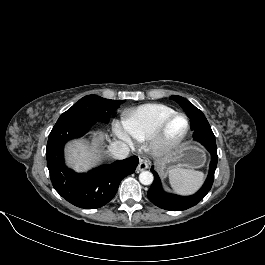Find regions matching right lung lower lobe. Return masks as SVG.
Listing matches in <instances>:
<instances>
[{
    "mask_svg": "<svg viewBox=\"0 0 265 265\" xmlns=\"http://www.w3.org/2000/svg\"><path fill=\"white\" fill-rule=\"evenodd\" d=\"M95 122L73 119L56 123L49 134L46 157L55 190L71 204L85 209L105 205L115 196L121 180L134 173L138 157L99 166L88 173H76L64 163V146L85 135Z\"/></svg>",
    "mask_w": 265,
    "mask_h": 265,
    "instance_id": "1",
    "label": "right lung lower lobe"
}]
</instances>
